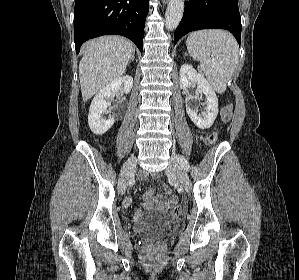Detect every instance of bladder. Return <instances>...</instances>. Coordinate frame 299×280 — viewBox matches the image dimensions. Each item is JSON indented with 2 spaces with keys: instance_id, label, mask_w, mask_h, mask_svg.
<instances>
[{
  "instance_id": "1",
  "label": "bladder",
  "mask_w": 299,
  "mask_h": 280,
  "mask_svg": "<svg viewBox=\"0 0 299 280\" xmlns=\"http://www.w3.org/2000/svg\"><path fill=\"white\" fill-rule=\"evenodd\" d=\"M172 225L162 213H148L135 223V228L140 233L164 234Z\"/></svg>"
}]
</instances>
